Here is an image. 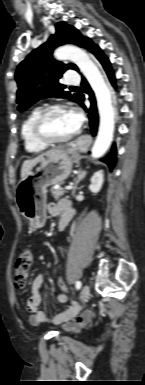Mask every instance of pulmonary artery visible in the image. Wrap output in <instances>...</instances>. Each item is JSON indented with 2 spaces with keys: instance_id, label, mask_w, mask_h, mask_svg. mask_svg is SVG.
<instances>
[{
  "instance_id": "1",
  "label": "pulmonary artery",
  "mask_w": 145,
  "mask_h": 385,
  "mask_svg": "<svg viewBox=\"0 0 145 385\" xmlns=\"http://www.w3.org/2000/svg\"><path fill=\"white\" fill-rule=\"evenodd\" d=\"M78 82H79V76L74 71H70L67 74L66 83L72 85V84H77Z\"/></svg>"
}]
</instances>
